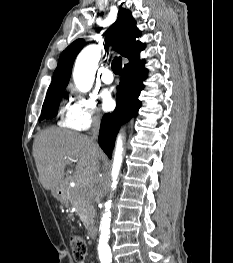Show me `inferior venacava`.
Here are the masks:
<instances>
[{
  "label": "inferior vena cava",
  "instance_id": "inferior-vena-cava-1",
  "mask_svg": "<svg viewBox=\"0 0 233 263\" xmlns=\"http://www.w3.org/2000/svg\"><path fill=\"white\" fill-rule=\"evenodd\" d=\"M99 127H100V118L99 116H93L92 117V125H91V131H92V136L91 140H95L98 137L99 133Z\"/></svg>",
  "mask_w": 233,
  "mask_h": 263
}]
</instances>
